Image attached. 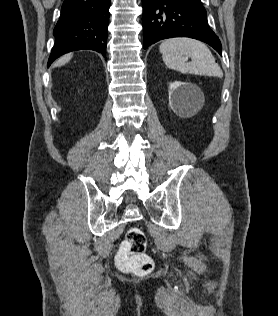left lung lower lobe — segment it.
<instances>
[{"label": "left lung lower lobe", "instance_id": "obj_1", "mask_svg": "<svg viewBox=\"0 0 278 316\" xmlns=\"http://www.w3.org/2000/svg\"><path fill=\"white\" fill-rule=\"evenodd\" d=\"M142 4L144 49L162 39L190 37L222 55L220 40L209 28L200 0H142Z\"/></svg>", "mask_w": 278, "mask_h": 316}]
</instances>
